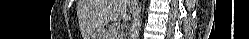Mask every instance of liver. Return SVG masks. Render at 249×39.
Here are the masks:
<instances>
[{
    "instance_id": "1",
    "label": "liver",
    "mask_w": 249,
    "mask_h": 39,
    "mask_svg": "<svg viewBox=\"0 0 249 39\" xmlns=\"http://www.w3.org/2000/svg\"><path fill=\"white\" fill-rule=\"evenodd\" d=\"M131 0H80L78 14L84 29V39L95 37L109 22L130 19L127 6L133 5Z\"/></svg>"
}]
</instances>
